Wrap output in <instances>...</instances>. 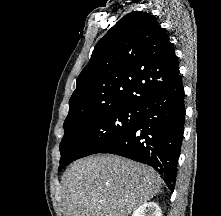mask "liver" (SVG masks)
<instances>
[{"instance_id":"1","label":"liver","mask_w":221,"mask_h":216,"mask_svg":"<svg viewBox=\"0 0 221 216\" xmlns=\"http://www.w3.org/2000/svg\"><path fill=\"white\" fill-rule=\"evenodd\" d=\"M162 184L151 167L116 155H96L70 165L62 176L64 216H128Z\"/></svg>"}]
</instances>
